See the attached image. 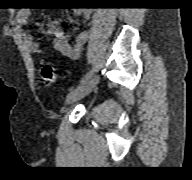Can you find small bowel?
<instances>
[{"label": "small bowel", "instance_id": "small-bowel-1", "mask_svg": "<svg viewBox=\"0 0 192 180\" xmlns=\"http://www.w3.org/2000/svg\"><path fill=\"white\" fill-rule=\"evenodd\" d=\"M75 17H80L85 15L89 17L91 15L90 10L83 11L82 9L76 8L73 11ZM29 10L21 9L18 11L16 16V21L20 26H25L28 23ZM46 33L54 36V48L60 52L62 55L71 58L77 59L82 51L84 44L88 39V32L82 31L78 33L74 39L73 43L69 42L68 36L60 28L58 21L54 20L46 26ZM24 44L27 50L31 53H36L39 50L38 44L35 42L34 35L28 32L23 33L22 35Z\"/></svg>", "mask_w": 192, "mask_h": 180}]
</instances>
